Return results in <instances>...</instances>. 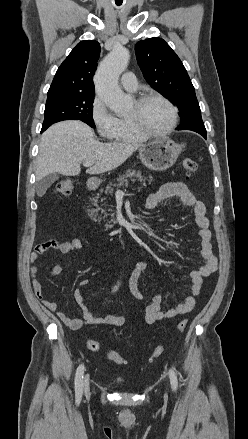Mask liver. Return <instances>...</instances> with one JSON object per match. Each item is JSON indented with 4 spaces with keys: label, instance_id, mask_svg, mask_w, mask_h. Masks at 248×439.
I'll list each match as a JSON object with an SVG mask.
<instances>
[{
    "label": "liver",
    "instance_id": "6515ba94",
    "mask_svg": "<svg viewBox=\"0 0 248 439\" xmlns=\"http://www.w3.org/2000/svg\"><path fill=\"white\" fill-rule=\"evenodd\" d=\"M143 144L134 142L101 143L91 127L69 120L49 127L41 136L36 160V181L51 173L75 176L80 164L93 161L88 174H100L123 164Z\"/></svg>",
    "mask_w": 248,
    "mask_h": 439
}]
</instances>
